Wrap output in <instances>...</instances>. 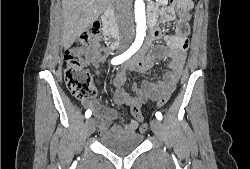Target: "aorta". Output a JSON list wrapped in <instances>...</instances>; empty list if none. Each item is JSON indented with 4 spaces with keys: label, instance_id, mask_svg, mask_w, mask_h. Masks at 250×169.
<instances>
[{
    "label": "aorta",
    "instance_id": "aorta-1",
    "mask_svg": "<svg viewBox=\"0 0 250 169\" xmlns=\"http://www.w3.org/2000/svg\"><path fill=\"white\" fill-rule=\"evenodd\" d=\"M135 20H136V38H142L146 34V10L144 0H135L134 4Z\"/></svg>",
    "mask_w": 250,
    "mask_h": 169
}]
</instances>
